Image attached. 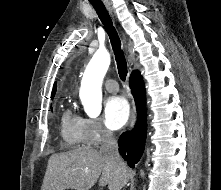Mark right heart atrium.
<instances>
[{
	"instance_id": "d8ad5b80",
	"label": "right heart atrium",
	"mask_w": 221,
	"mask_h": 190,
	"mask_svg": "<svg viewBox=\"0 0 221 190\" xmlns=\"http://www.w3.org/2000/svg\"><path fill=\"white\" fill-rule=\"evenodd\" d=\"M83 143L96 147L111 137V132L106 129L98 118L86 117L82 122Z\"/></svg>"
}]
</instances>
